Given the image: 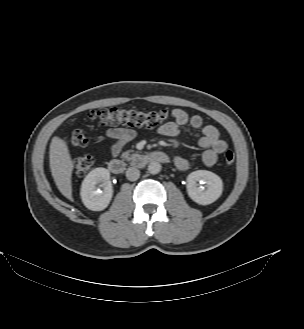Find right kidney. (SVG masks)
Instances as JSON below:
<instances>
[{
    "instance_id": "obj_1",
    "label": "right kidney",
    "mask_w": 304,
    "mask_h": 329,
    "mask_svg": "<svg viewBox=\"0 0 304 329\" xmlns=\"http://www.w3.org/2000/svg\"><path fill=\"white\" fill-rule=\"evenodd\" d=\"M101 183L103 190L97 188ZM83 204L92 211L105 209L113 196L110 182V173L107 169L99 167L93 169L83 180L80 190Z\"/></svg>"
}]
</instances>
